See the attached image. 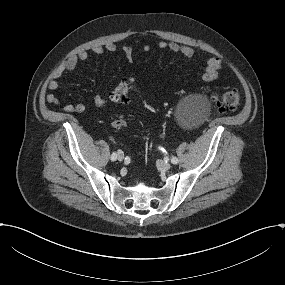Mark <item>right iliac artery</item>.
I'll use <instances>...</instances> for the list:
<instances>
[{"label":"right iliac artery","mask_w":285,"mask_h":285,"mask_svg":"<svg viewBox=\"0 0 285 285\" xmlns=\"http://www.w3.org/2000/svg\"><path fill=\"white\" fill-rule=\"evenodd\" d=\"M117 159V154L116 153H113L112 155H111V160L112 161H115Z\"/></svg>","instance_id":"82829eb1"}]
</instances>
